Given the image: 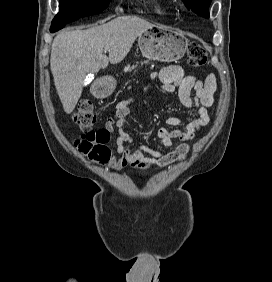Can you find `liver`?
<instances>
[{"label":"liver","mask_w":272,"mask_h":282,"mask_svg":"<svg viewBox=\"0 0 272 282\" xmlns=\"http://www.w3.org/2000/svg\"><path fill=\"white\" fill-rule=\"evenodd\" d=\"M153 26L137 16H120L86 30L59 33L52 43L50 68L64 111L74 110L88 73L121 62L136 38ZM105 47L110 49L108 57Z\"/></svg>","instance_id":"obj_1"}]
</instances>
